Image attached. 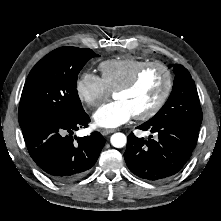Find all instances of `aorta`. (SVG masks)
<instances>
[{"label": "aorta", "mask_w": 221, "mask_h": 221, "mask_svg": "<svg viewBox=\"0 0 221 221\" xmlns=\"http://www.w3.org/2000/svg\"><path fill=\"white\" fill-rule=\"evenodd\" d=\"M110 142L116 148H122L127 143V138L123 133H115L111 136Z\"/></svg>", "instance_id": "aorta-1"}]
</instances>
